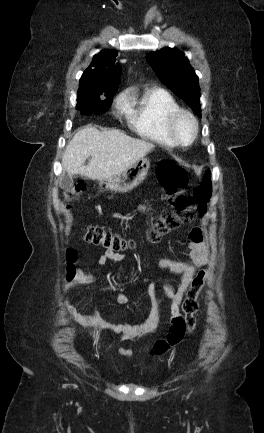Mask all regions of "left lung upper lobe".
I'll return each mask as SVG.
<instances>
[{
  "label": "left lung upper lobe",
  "mask_w": 264,
  "mask_h": 433,
  "mask_svg": "<svg viewBox=\"0 0 264 433\" xmlns=\"http://www.w3.org/2000/svg\"><path fill=\"white\" fill-rule=\"evenodd\" d=\"M147 61L158 78L201 116L198 76L184 53L167 47L148 54Z\"/></svg>",
  "instance_id": "5c2ea615"
}]
</instances>
